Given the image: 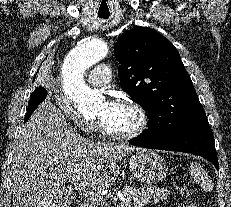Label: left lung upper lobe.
<instances>
[{
    "instance_id": "1",
    "label": "left lung upper lobe",
    "mask_w": 231,
    "mask_h": 207,
    "mask_svg": "<svg viewBox=\"0 0 231 207\" xmlns=\"http://www.w3.org/2000/svg\"><path fill=\"white\" fill-rule=\"evenodd\" d=\"M122 89L149 112L141 135L163 141L199 126H209L177 49L153 29L127 30L114 47Z\"/></svg>"
}]
</instances>
